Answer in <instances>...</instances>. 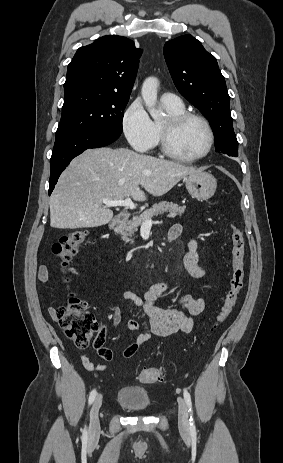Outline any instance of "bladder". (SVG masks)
Wrapping results in <instances>:
<instances>
[{"instance_id": "1", "label": "bladder", "mask_w": 283, "mask_h": 463, "mask_svg": "<svg viewBox=\"0 0 283 463\" xmlns=\"http://www.w3.org/2000/svg\"><path fill=\"white\" fill-rule=\"evenodd\" d=\"M116 401L119 405L136 412L146 411L151 406L148 392L141 387L124 386L117 393Z\"/></svg>"}]
</instances>
